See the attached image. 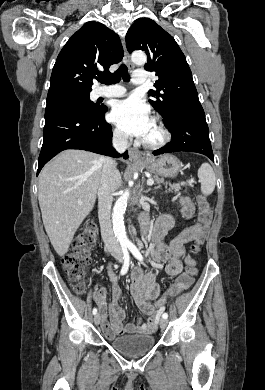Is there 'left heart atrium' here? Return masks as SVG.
Wrapping results in <instances>:
<instances>
[{"label": "left heart atrium", "instance_id": "obj_1", "mask_svg": "<svg viewBox=\"0 0 265 390\" xmlns=\"http://www.w3.org/2000/svg\"><path fill=\"white\" fill-rule=\"evenodd\" d=\"M111 120L124 134L143 140L154 125L149 107L136 97L116 102L111 112Z\"/></svg>", "mask_w": 265, "mask_h": 390}]
</instances>
